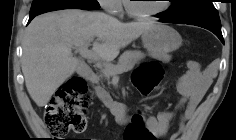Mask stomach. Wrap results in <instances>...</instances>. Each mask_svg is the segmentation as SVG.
Returning <instances> with one entry per match:
<instances>
[{
	"mask_svg": "<svg viewBox=\"0 0 236 140\" xmlns=\"http://www.w3.org/2000/svg\"><path fill=\"white\" fill-rule=\"evenodd\" d=\"M144 47L154 56H163L177 50L182 44V37L172 27L155 24L142 34Z\"/></svg>",
	"mask_w": 236,
	"mask_h": 140,
	"instance_id": "0dacf381",
	"label": "stomach"
}]
</instances>
